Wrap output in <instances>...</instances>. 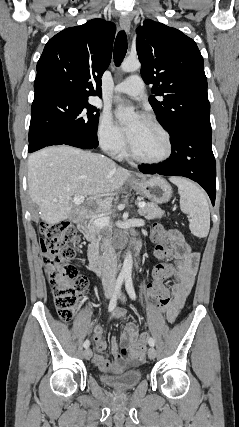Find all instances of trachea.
Returning a JSON list of instances; mask_svg holds the SVG:
<instances>
[{"mask_svg":"<svg viewBox=\"0 0 239 427\" xmlns=\"http://www.w3.org/2000/svg\"><path fill=\"white\" fill-rule=\"evenodd\" d=\"M127 52V36L125 31H120L117 34L115 45H114V62L116 66H119L123 61Z\"/></svg>","mask_w":239,"mask_h":427,"instance_id":"1","label":"trachea"}]
</instances>
